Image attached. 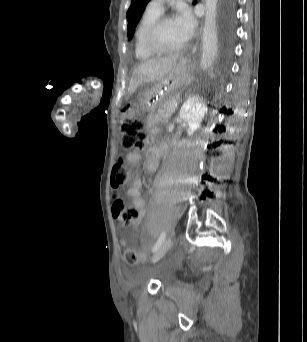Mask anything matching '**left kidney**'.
<instances>
[{
  "label": "left kidney",
  "instance_id": "left-kidney-1",
  "mask_svg": "<svg viewBox=\"0 0 307 342\" xmlns=\"http://www.w3.org/2000/svg\"><path fill=\"white\" fill-rule=\"evenodd\" d=\"M207 110L206 104H204L200 98H197V96H190V98L184 102L179 112V116L184 124H187L188 126V136H193L194 132L200 128Z\"/></svg>",
  "mask_w": 307,
  "mask_h": 342
}]
</instances>
